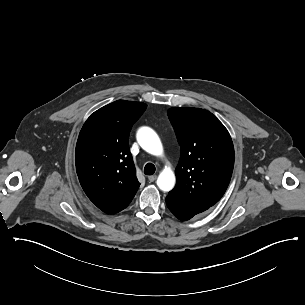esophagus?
I'll use <instances>...</instances> for the list:
<instances>
[{
  "label": "esophagus",
  "mask_w": 305,
  "mask_h": 305,
  "mask_svg": "<svg viewBox=\"0 0 305 305\" xmlns=\"http://www.w3.org/2000/svg\"><path fill=\"white\" fill-rule=\"evenodd\" d=\"M156 179H157V175H151V176L148 177V180L150 182H154Z\"/></svg>",
  "instance_id": "obj_1"
}]
</instances>
